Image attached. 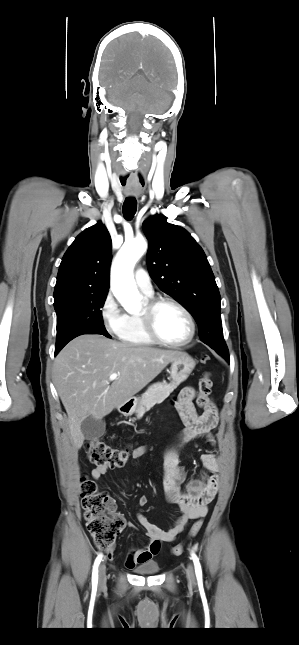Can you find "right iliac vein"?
Instances as JSON below:
<instances>
[{
	"label": "right iliac vein",
	"instance_id": "obj_1",
	"mask_svg": "<svg viewBox=\"0 0 299 645\" xmlns=\"http://www.w3.org/2000/svg\"><path fill=\"white\" fill-rule=\"evenodd\" d=\"M106 584V566L102 563L99 566V586H104Z\"/></svg>",
	"mask_w": 299,
	"mask_h": 645
}]
</instances>
